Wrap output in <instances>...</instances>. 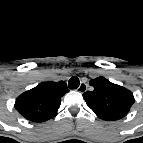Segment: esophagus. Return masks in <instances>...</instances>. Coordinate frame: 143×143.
<instances>
[{
	"label": "esophagus",
	"instance_id": "34e87169",
	"mask_svg": "<svg viewBox=\"0 0 143 143\" xmlns=\"http://www.w3.org/2000/svg\"><path fill=\"white\" fill-rule=\"evenodd\" d=\"M78 92L84 93L87 90V84L85 82H81L80 86L77 88Z\"/></svg>",
	"mask_w": 143,
	"mask_h": 143
}]
</instances>
